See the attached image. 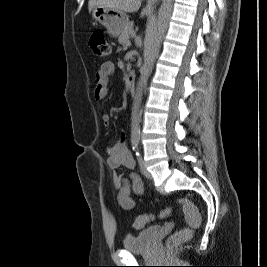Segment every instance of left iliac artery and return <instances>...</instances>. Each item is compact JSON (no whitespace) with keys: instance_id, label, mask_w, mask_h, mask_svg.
<instances>
[{"instance_id":"1","label":"left iliac artery","mask_w":267,"mask_h":267,"mask_svg":"<svg viewBox=\"0 0 267 267\" xmlns=\"http://www.w3.org/2000/svg\"><path fill=\"white\" fill-rule=\"evenodd\" d=\"M136 155H137V156H139V153H138V152H136Z\"/></svg>"}]
</instances>
